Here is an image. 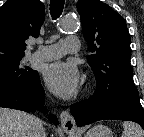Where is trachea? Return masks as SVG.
I'll return each mask as SVG.
<instances>
[{"label":"trachea","mask_w":144,"mask_h":137,"mask_svg":"<svg viewBox=\"0 0 144 137\" xmlns=\"http://www.w3.org/2000/svg\"><path fill=\"white\" fill-rule=\"evenodd\" d=\"M65 0H51L50 1V14L53 19L58 18L63 11Z\"/></svg>","instance_id":"3493384b"}]
</instances>
